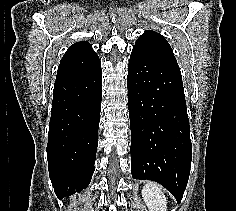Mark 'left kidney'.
<instances>
[{
	"label": "left kidney",
	"mask_w": 236,
	"mask_h": 211,
	"mask_svg": "<svg viewBox=\"0 0 236 211\" xmlns=\"http://www.w3.org/2000/svg\"><path fill=\"white\" fill-rule=\"evenodd\" d=\"M142 196L150 211H166V198L160 188L148 182L142 189Z\"/></svg>",
	"instance_id": "1"
}]
</instances>
